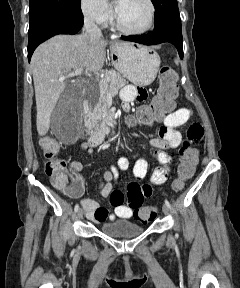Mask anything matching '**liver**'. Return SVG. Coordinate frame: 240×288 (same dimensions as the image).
Instances as JSON below:
<instances>
[{"label":"liver","instance_id":"obj_1","mask_svg":"<svg viewBox=\"0 0 240 288\" xmlns=\"http://www.w3.org/2000/svg\"><path fill=\"white\" fill-rule=\"evenodd\" d=\"M107 42L81 35H56L33 53L31 69L36 98V125L40 136L47 134L51 114L66 88L58 79L72 70L85 68L97 73L105 62Z\"/></svg>","mask_w":240,"mask_h":288}]
</instances>
